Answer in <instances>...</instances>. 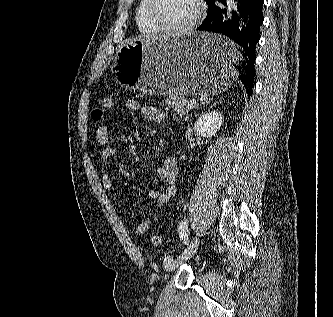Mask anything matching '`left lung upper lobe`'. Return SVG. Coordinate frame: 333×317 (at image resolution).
Segmentation results:
<instances>
[{
	"label": "left lung upper lobe",
	"mask_w": 333,
	"mask_h": 317,
	"mask_svg": "<svg viewBox=\"0 0 333 317\" xmlns=\"http://www.w3.org/2000/svg\"><path fill=\"white\" fill-rule=\"evenodd\" d=\"M208 4L212 1V0H205Z\"/></svg>",
	"instance_id": "1"
}]
</instances>
